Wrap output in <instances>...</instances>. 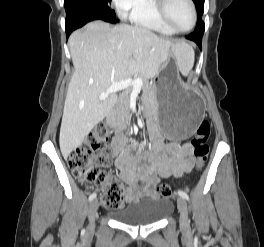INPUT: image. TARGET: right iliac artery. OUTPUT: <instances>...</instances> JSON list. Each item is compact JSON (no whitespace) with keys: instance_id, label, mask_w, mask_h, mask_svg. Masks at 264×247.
<instances>
[{"instance_id":"82829eb1","label":"right iliac artery","mask_w":264,"mask_h":247,"mask_svg":"<svg viewBox=\"0 0 264 247\" xmlns=\"http://www.w3.org/2000/svg\"><path fill=\"white\" fill-rule=\"evenodd\" d=\"M96 198V193H92L90 196H89V201H92Z\"/></svg>"}]
</instances>
